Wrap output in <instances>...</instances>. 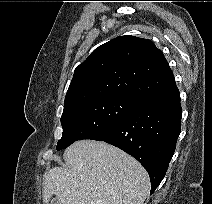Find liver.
I'll return each instance as SVG.
<instances>
[{
  "mask_svg": "<svg viewBox=\"0 0 212 204\" xmlns=\"http://www.w3.org/2000/svg\"><path fill=\"white\" fill-rule=\"evenodd\" d=\"M66 167H53L43 180V200L59 204H143L148 173L133 157L102 141L80 140L64 152Z\"/></svg>",
  "mask_w": 212,
  "mask_h": 204,
  "instance_id": "1",
  "label": "liver"
}]
</instances>
